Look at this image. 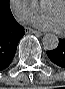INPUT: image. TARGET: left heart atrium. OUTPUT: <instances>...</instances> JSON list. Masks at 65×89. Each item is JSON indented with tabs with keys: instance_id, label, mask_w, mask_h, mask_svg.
I'll list each match as a JSON object with an SVG mask.
<instances>
[{
	"instance_id": "left-heart-atrium-1",
	"label": "left heart atrium",
	"mask_w": 65,
	"mask_h": 89,
	"mask_svg": "<svg viewBox=\"0 0 65 89\" xmlns=\"http://www.w3.org/2000/svg\"><path fill=\"white\" fill-rule=\"evenodd\" d=\"M33 25L41 30L60 32L63 30V22L57 16H40L33 21Z\"/></svg>"
}]
</instances>
